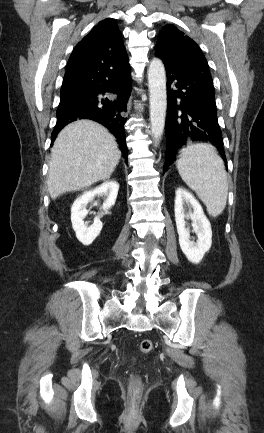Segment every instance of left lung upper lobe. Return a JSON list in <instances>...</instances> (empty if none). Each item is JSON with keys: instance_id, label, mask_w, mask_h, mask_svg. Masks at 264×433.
Here are the masks:
<instances>
[{"instance_id": "left-lung-upper-lobe-1", "label": "left lung upper lobe", "mask_w": 264, "mask_h": 433, "mask_svg": "<svg viewBox=\"0 0 264 433\" xmlns=\"http://www.w3.org/2000/svg\"><path fill=\"white\" fill-rule=\"evenodd\" d=\"M155 54L166 66L179 72L211 78L208 63L199 46L174 25H165L160 31Z\"/></svg>"}]
</instances>
